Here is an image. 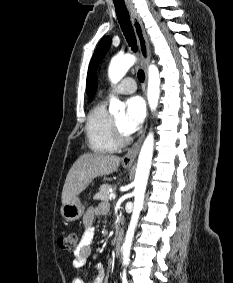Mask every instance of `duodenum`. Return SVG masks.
<instances>
[{"instance_id": "duodenum-1", "label": "duodenum", "mask_w": 233, "mask_h": 283, "mask_svg": "<svg viewBox=\"0 0 233 283\" xmlns=\"http://www.w3.org/2000/svg\"><path fill=\"white\" fill-rule=\"evenodd\" d=\"M115 254L116 256H119L121 253L122 248V236L121 233H117L115 236Z\"/></svg>"}]
</instances>
